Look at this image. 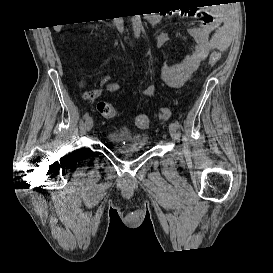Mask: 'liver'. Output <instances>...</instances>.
<instances>
[{
	"instance_id": "6515ba94",
	"label": "liver",
	"mask_w": 273,
	"mask_h": 273,
	"mask_svg": "<svg viewBox=\"0 0 273 273\" xmlns=\"http://www.w3.org/2000/svg\"><path fill=\"white\" fill-rule=\"evenodd\" d=\"M55 30L60 31L61 30V25L55 26Z\"/></svg>"
}]
</instances>
